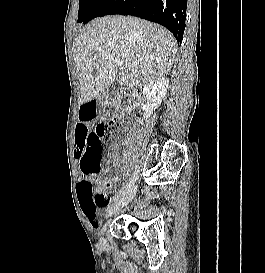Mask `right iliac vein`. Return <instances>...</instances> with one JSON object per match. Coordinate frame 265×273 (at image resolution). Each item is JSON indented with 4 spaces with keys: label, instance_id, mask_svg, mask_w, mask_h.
<instances>
[{
    "label": "right iliac vein",
    "instance_id": "1",
    "mask_svg": "<svg viewBox=\"0 0 265 273\" xmlns=\"http://www.w3.org/2000/svg\"><path fill=\"white\" fill-rule=\"evenodd\" d=\"M136 191H137V186H133L125 196H123L122 198H120L119 200H117L116 202L111 204L107 208L106 218L112 216L114 213H116L117 211L122 209L124 206L128 205L132 201V199L134 198ZM99 244L101 246L106 245V240H105L102 232L99 237Z\"/></svg>",
    "mask_w": 265,
    "mask_h": 273
}]
</instances>
